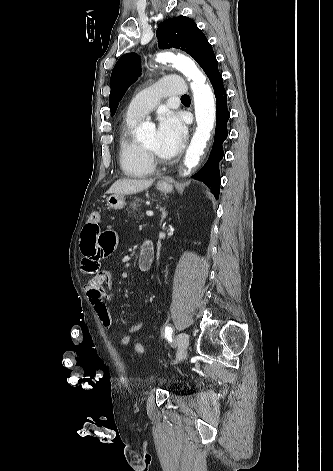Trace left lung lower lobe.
<instances>
[{
	"mask_svg": "<svg viewBox=\"0 0 333 471\" xmlns=\"http://www.w3.org/2000/svg\"><path fill=\"white\" fill-rule=\"evenodd\" d=\"M217 64L216 56L213 53L202 65V69L213 86L217 104L214 144L208 161L196 174L192 176L205 181L213 189L212 192L216 198H218L220 190L218 163L223 157L222 142L227 138V121L230 117V113L227 109L226 91L223 86V79L218 70Z\"/></svg>",
	"mask_w": 333,
	"mask_h": 471,
	"instance_id": "0a47b994",
	"label": "left lung lower lobe"
}]
</instances>
